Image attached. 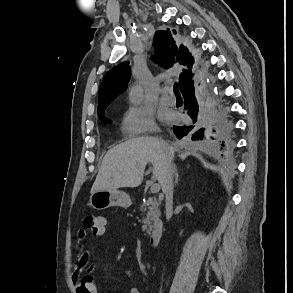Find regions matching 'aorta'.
Instances as JSON below:
<instances>
[{
    "label": "aorta",
    "mask_w": 293,
    "mask_h": 293,
    "mask_svg": "<svg viewBox=\"0 0 293 293\" xmlns=\"http://www.w3.org/2000/svg\"><path fill=\"white\" fill-rule=\"evenodd\" d=\"M142 96V88L140 86H135L131 90V97L133 100H139Z\"/></svg>",
    "instance_id": "762f6f07"
}]
</instances>
